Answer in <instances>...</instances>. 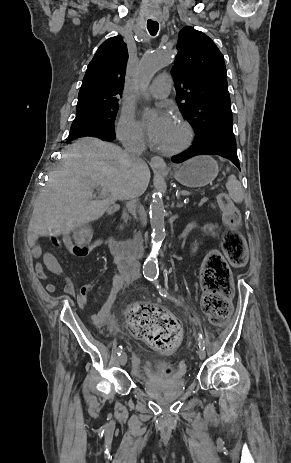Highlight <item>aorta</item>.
Returning a JSON list of instances; mask_svg holds the SVG:
<instances>
[{"instance_id": "aorta-1", "label": "aorta", "mask_w": 291, "mask_h": 463, "mask_svg": "<svg viewBox=\"0 0 291 463\" xmlns=\"http://www.w3.org/2000/svg\"><path fill=\"white\" fill-rule=\"evenodd\" d=\"M174 55L171 51H155L147 53L141 60L137 84L142 93H144L154 75L163 67L172 63ZM150 224L152 228L151 243L153 248L159 247L165 238V210L164 203L161 197L156 195L150 204ZM143 273L146 277H155L158 274V261L154 253L146 259L143 266Z\"/></svg>"}]
</instances>
